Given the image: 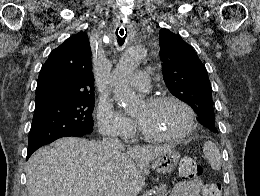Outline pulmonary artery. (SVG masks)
<instances>
[{"mask_svg":"<svg viewBox=\"0 0 260 196\" xmlns=\"http://www.w3.org/2000/svg\"><path fill=\"white\" fill-rule=\"evenodd\" d=\"M149 69H138V72H135V79H127V84H132L128 86L129 90H138L141 92H148L150 85Z\"/></svg>","mask_w":260,"mask_h":196,"instance_id":"1","label":"pulmonary artery"}]
</instances>
